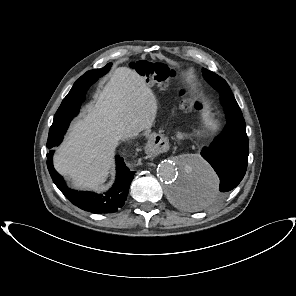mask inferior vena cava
<instances>
[{
    "instance_id": "obj_1",
    "label": "inferior vena cava",
    "mask_w": 296,
    "mask_h": 296,
    "mask_svg": "<svg viewBox=\"0 0 296 296\" xmlns=\"http://www.w3.org/2000/svg\"><path fill=\"white\" fill-rule=\"evenodd\" d=\"M135 135H137V133H136L135 131L126 130V131H123V132L120 134V139H128V138H132V137H134Z\"/></svg>"
}]
</instances>
